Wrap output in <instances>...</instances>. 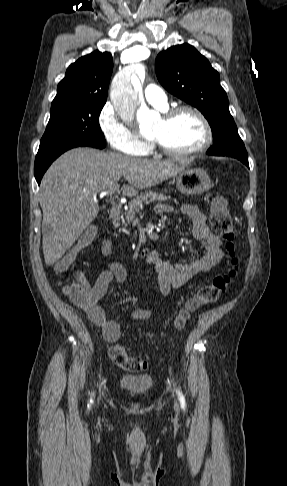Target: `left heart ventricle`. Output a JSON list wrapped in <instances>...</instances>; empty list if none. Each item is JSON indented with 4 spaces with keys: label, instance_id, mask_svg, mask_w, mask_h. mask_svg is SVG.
<instances>
[{
    "label": "left heart ventricle",
    "instance_id": "1",
    "mask_svg": "<svg viewBox=\"0 0 287 486\" xmlns=\"http://www.w3.org/2000/svg\"><path fill=\"white\" fill-rule=\"evenodd\" d=\"M149 137L169 149L183 151L199 146L204 139V130L195 115L183 113L168 122L159 119Z\"/></svg>",
    "mask_w": 287,
    "mask_h": 486
}]
</instances>
